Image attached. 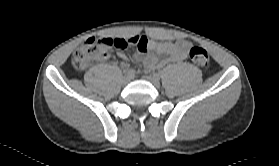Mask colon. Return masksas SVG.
I'll list each match as a JSON object with an SVG mask.
<instances>
[{
  "label": "colon",
  "instance_id": "obj_1",
  "mask_svg": "<svg viewBox=\"0 0 279 166\" xmlns=\"http://www.w3.org/2000/svg\"><path fill=\"white\" fill-rule=\"evenodd\" d=\"M131 42L126 39L90 38L76 50L72 58V64L75 69L84 70L93 61L107 56L112 48L124 49ZM189 57L195 65L201 68H206L210 62L208 52L198 46L190 49Z\"/></svg>",
  "mask_w": 279,
  "mask_h": 166
}]
</instances>
